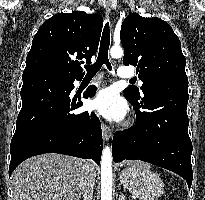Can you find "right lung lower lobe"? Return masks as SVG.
<instances>
[{
	"instance_id": "obj_1",
	"label": "right lung lower lobe",
	"mask_w": 205,
	"mask_h": 200,
	"mask_svg": "<svg viewBox=\"0 0 205 200\" xmlns=\"http://www.w3.org/2000/svg\"><path fill=\"white\" fill-rule=\"evenodd\" d=\"M22 79V109L10 145L9 176L25 159L44 153L91 158L99 164L103 148L100 121L94 112L73 113L83 103L69 97L73 82L81 78L35 72ZM95 91L90 86L83 98L92 97Z\"/></svg>"
}]
</instances>
